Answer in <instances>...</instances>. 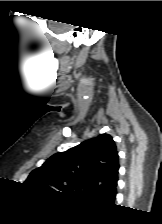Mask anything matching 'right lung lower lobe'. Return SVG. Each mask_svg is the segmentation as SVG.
Returning a JSON list of instances; mask_svg holds the SVG:
<instances>
[{
    "mask_svg": "<svg viewBox=\"0 0 162 224\" xmlns=\"http://www.w3.org/2000/svg\"><path fill=\"white\" fill-rule=\"evenodd\" d=\"M116 196V195H115ZM114 200H115V197H113L112 199H111V202H114Z\"/></svg>",
    "mask_w": 162,
    "mask_h": 224,
    "instance_id": "98d812e1",
    "label": "right lung lower lobe"
}]
</instances>
